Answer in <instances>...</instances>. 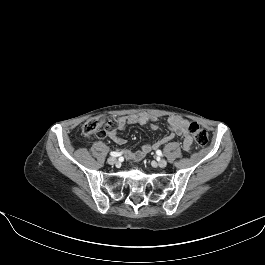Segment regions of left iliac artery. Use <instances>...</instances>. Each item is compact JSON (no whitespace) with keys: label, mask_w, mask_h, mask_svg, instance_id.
I'll use <instances>...</instances> for the list:
<instances>
[{"label":"left iliac artery","mask_w":265,"mask_h":265,"mask_svg":"<svg viewBox=\"0 0 265 265\" xmlns=\"http://www.w3.org/2000/svg\"><path fill=\"white\" fill-rule=\"evenodd\" d=\"M156 153H157L158 156H163V154H162V152L160 150H157Z\"/></svg>","instance_id":"left-iliac-artery-1"}]
</instances>
